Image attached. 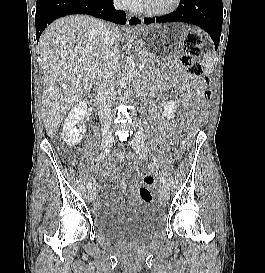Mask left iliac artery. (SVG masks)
Masks as SVG:
<instances>
[{"label":"left iliac artery","instance_id":"44dca946","mask_svg":"<svg viewBox=\"0 0 265 273\" xmlns=\"http://www.w3.org/2000/svg\"><path fill=\"white\" fill-rule=\"evenodd\" d=\"M137 137L143 141L145 139V134L142 131H138ZM159 178L162 183L165 182V174H164L163 170L160 171Z\"/></svg>","mask_w":265,"mask_h":273}]
</instances>
